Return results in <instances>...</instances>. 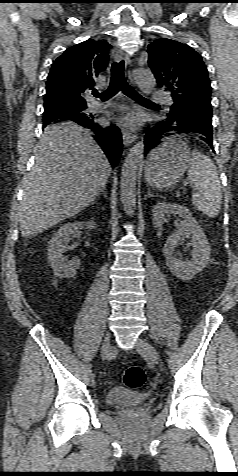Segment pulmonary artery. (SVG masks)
Returning a JSON list of instances; mask_svg holds the SVG:
<instances>
[{
    "label": "pulmonary artery",
    "instance_id": "e3ab8cb5",
    "mask_svg": "<svg viewBox=\"0 0 238 476\" xmlns=\"http://www.w3.org/2000/svg\"><path fill=\"white\" fill-rule=\"evenodd\" d=\"M152 98L154 100L161 101V102H163L165 104H168V105H171L173 103L172 98L169 95H166L165 93H163L161 91H155L152 94ZM108 106H109V104H104V103L95 101L90 105V108L95 112H99V111H102V110L106 109Z\"/></svg>",
    "mask_w": 238,
    "mask_h": 476
}]
</instances>
